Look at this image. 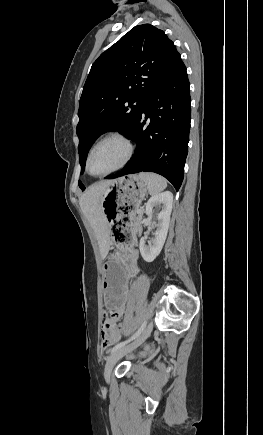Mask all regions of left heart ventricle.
Returning <instances> with one entry per match:
<instances>
[{
  "mask_svg": "<svg viewBox=\"0 0 263 435\" xmlns=\"http://www.w3.org/2000/svg\"><path fill=\"white\" fill-rule=\"evenodd\" d=\"M126 149L116 140H108L99 144L93 151L89 167L93 174L106 173L122 163Z\"/></svg>",
  "mask_w": 263,
  "mask_h": 435,
  "instance_id": "1",
  "label": "left heart ventricle"
}]
</instances>
